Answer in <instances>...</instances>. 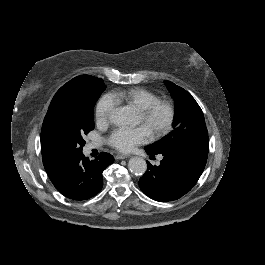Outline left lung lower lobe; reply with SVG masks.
<instances>
[{"label": "left lung lower lobe", "instance_id": "left-lung-lower-lobe-1", "mask_svg": "<svg viewBox=\"0 0 265 265\" xmlns=\"http://www.w3.org/2000/svg\"><path fill=\"white\" fill-rule=\"evenodd\" d=\"M161 154L164 158L159 166L148 163V170L140 178L139 187L156 201L179 199L192 189L201 176L208 157V147L189 145Z\"/></svg>", "mask_w": 265, "mask_h": 265}]
</instances>
